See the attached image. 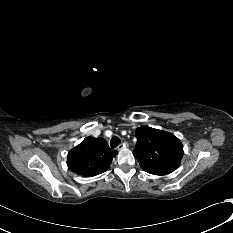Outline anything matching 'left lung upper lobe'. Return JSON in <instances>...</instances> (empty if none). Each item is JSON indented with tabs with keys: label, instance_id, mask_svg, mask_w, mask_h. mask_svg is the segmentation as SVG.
Here are the masks:
<instances>
[{
	"label": "left lung upper lobe",
	"instance_id": "obj_1",
	"mask_svg": "<svg viewBox=\"0 0 233 233\" xmlns=\"http://www.w3.org/2000/svg\"><path fill=\"white\" fill-rule=\"evenodd\" d=\"M136 138L133 155L144 171L162 176L180 165L183 145L173 134L143 126L136 129Z\"/></svg>",
	"mask_w": 233,
	"mask_h": 233
}]
</instances>
